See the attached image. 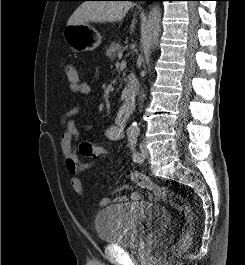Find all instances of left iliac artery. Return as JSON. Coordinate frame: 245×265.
<instances>
[{"label": "left iliac artery", "mask_w": 245, "mask_h": 265, "mask_svg": "<svg viewBox=\"0 0 245 265\" xmlns=\"http://www.w3.org/2000/svg\"><path fill=\"white\" fill-rule=\"evenodd\" d=\"M137 137L138 134H130L128 137V142H129L128 146L132 150V158L134 162H141L142 161L141 154L135 149L137 143Z\"/></svg>", "instance_id": "obj_1"}]
</instances>
